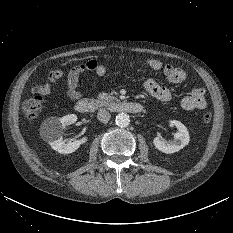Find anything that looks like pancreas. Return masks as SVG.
<instances>
[{"mask_svg": "<svg viewBox=\"0 0 233 233\" xmlns=\"http://www.w3.org/2000/svg\"><path fill=\"white\" fill-rule=\"evenodd\" d=\"M97 98L102 105H108L114 100L117 101V98H115V97H113L105 92L99 93Z\"/></svg>", "mask_w": 233, "mask_h": 233, "instance_id": "cf45deb5", "label": "pancreas"}]
</instances>
